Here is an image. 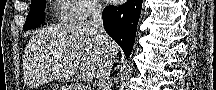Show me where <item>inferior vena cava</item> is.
Here are the masks:
<instances>
[{
  "label": "inferior vena cava",
  "mask_w": 216,
  "mask_h": 90,
  "mask_svg": "<svg viewBox=\"0 0 216 90\" xmlns=\"http://www.w3.org/2000/svg\"><path fill=\"white\" fill-rule=\"evenodd\" d=\"M103 6L99 4H91L89 8L90 18L87 20L89 30L92 34H95L98 38L100 46V60L96 62L97 66L95 72H93L94 78L98 80L97 90H111V70H112V60H111V48L109 46L111 38L106 34L104 30L102 12Z\"/></svg>",
  "instance_id": "602c4592"
}]
</instances>
